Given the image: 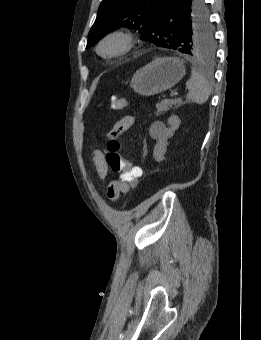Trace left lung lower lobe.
<instances>
[{"label":"left lung lower lobe","instance_id":"left-lung-lower-lobe-1","mask_svg":"<svg viewBox=\"0 0 261 340\" xmlns=\"http://www.w3.org/2000/svg\"><path fill=\"white\" fill-rule=\"evenodd\" d=\"M203 2L204 0H165L159 16H161L162 21L176 23L180 17L190 18L196 7Z\"/></svg>","mask_w":261,"mask_h":340}]
</instances>
